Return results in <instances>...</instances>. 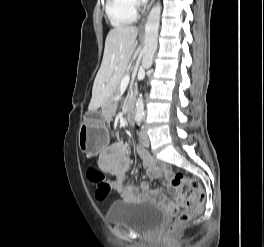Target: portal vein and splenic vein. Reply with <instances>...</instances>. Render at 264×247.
I'll use <instances>...</instances> for the list:
<instances>
[{
  "instance_id": "18ae733b",
  "label": "portal vein and splenic vein",
  "mask_w": 264,
  "mask_h": 247,
  "mask_svg": "<svg viewBox=\"0 0 264 247\" xmlns=\"http://www.w3.org/2000/svg\"><path fill=\"white\" fill-rule=\"evenodd\" d=\"M129 81H130V77L127 75L125 76L122 80H121V83H120V88L121 90L125 89L128 84H129Z\"/></svg>"
}]
</instances>
